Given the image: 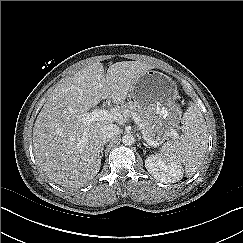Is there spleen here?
<instances>
[{"label": "spleen", "instance_id": "obj_1", "mask_svg": "<svg viewBox=\"0 0 243 243\" xmlns=\"http://www.w3.org/2000/svg\"><path fill=\"white\" fill-rule=\"evenodd\" d=\"M183 135L166 142L157 156L183 163L186 176H193L204 160L208 148V131L200 108L191 103L182 118Z\"/></svg>", "mask_w": 243, "mask_h": 243}]
</instances>
